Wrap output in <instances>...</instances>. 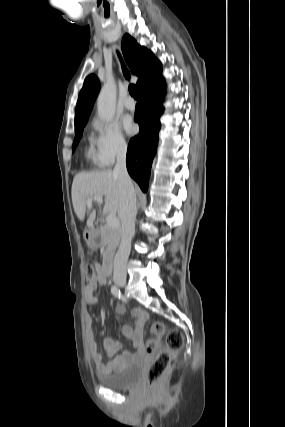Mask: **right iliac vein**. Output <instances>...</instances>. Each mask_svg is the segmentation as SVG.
I'll use <instances>...</instances> for the list:
<instances>
[{"instance_id":"obj_1","label":"right iliac vein","mask_w":285,"mask_h":427,"mask_svg":"<svg viewBox=\"0 0 285 427\" xmlns=\"http://www.w3.org/2000/svg\"><path fill=\"white\" fill-rule=\"evenodd\" d=\"M115 283L116 285H118L119 287H125L126 285V280L125 279H121V278H115Z\"/></svg>"}]
</instances>
